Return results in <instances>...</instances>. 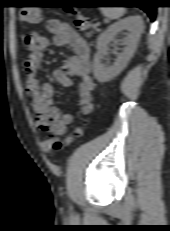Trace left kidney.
Wrapping results in <instances>:
<instances>
[{
    "mask_svg": "<svg viewBox=\"0 0 170 231\" xmlns=\"http://www.w3.org/2000/svg\"><path fill=\"white\" fill-rule=\"evenodd\" d=\"M126 30L128 36L122 41L123 52L117 56L112 66H104L101 63L103 55L107 51V45L113 41L118 33ZM143 31V21L140 16H130L111 25L97 39V53L94 55V76L98 82L104 83L117 76L133 56L140 35Z\"/></svg>",
    "mask_w": 170,
    "mask_h": 231,
    "instance_id": "left-kidney-1",
    "label": "left kidney"
}]
</instances>
